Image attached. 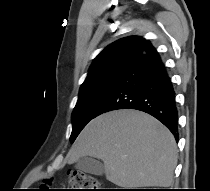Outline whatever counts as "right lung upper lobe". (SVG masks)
I'll return each mask as SVG.
<instances>
[{"instance_id":"right-lung-upper-lobe-1","label":"right lung upper lobe","mask_w":210,"mask_h":191,"mask_svg":"<svg viewBox=\"0 0 210 191\" xmlns=\"http://www.w3.org/2000/svg\"><path fill=\"white\" fill-rule=\"evenodd\" d=\"M146 42V40L139 36H129L119 39L107 46L92 63L89 73L119 56L132 57L134 53Z\"/></svg>"}]
</instances>
